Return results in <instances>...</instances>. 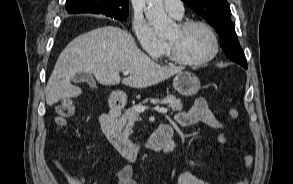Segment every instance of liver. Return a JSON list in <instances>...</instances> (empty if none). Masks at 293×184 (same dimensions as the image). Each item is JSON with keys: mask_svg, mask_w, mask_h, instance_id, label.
<instances>
[{"mask_svg": "<svg viewBox=\"0 0 293 184\" xmlns=\"http://www.w3.org/2000/svg\"><path fill=\"white\" fill-rule=\"evenodd\" d=\"M129 70L122 83L134 88L158 84L183 70L161 66L141 50L130 33L116 27L93 29L72 40L59 55L45 88L46 103L52 106L63 98L77 97L82 91L71 80L77 73H91L102 85L120 83V72Z\"/></svg>", "mask_w": 293, "mask_h": 184, "instance_id": "liver-1", "label": "liver"}]
</instances>
